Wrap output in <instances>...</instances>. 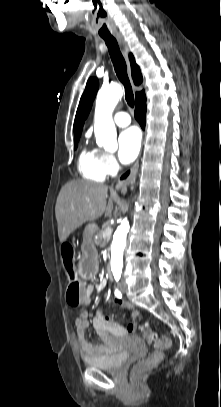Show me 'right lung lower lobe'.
<instances>
[{
    "mask_svg": "<svg viewBox=\"0 0 221 407\" xmlns=\"http://www.w3.org/2000/svg\"><path fill=\"white\" fill-rule=\"evenodd\" d=\"M145 115H146V97L136 102L135 108V118L140 123L142 129L145 128L146 123ZM128 174L129 172L123 175L122 178H125Z\"/></svg>",
    "mask_w": 221,
    "mask_h": 407,
    "instance_id": "98d812e1",
    "label": "right lung lower lobe"
}]
</instances>
